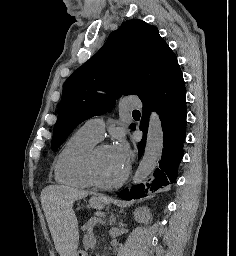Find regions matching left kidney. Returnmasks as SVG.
I'll list each match as a JSON object with an SVG mask.
<instances>
[{
  "instance_id": "1",
  "label": "left kidney",
  "mask_w": 236,
  "mask_h": 256,
  "mask_svg": "<svg viewBox=\"0 0 236 256\" xmlns=\"http://www.w3.org/2000/svg\"><path fill=\"white\" fill-rule=\"evenodd\" d=\"M134 220L139 224H149V222H152V216L148 208H137L134 212Z\"/></svg>"
}]
</instances>
